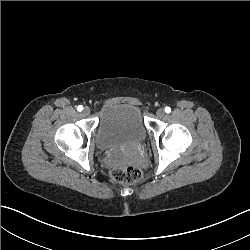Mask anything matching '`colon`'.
Wrapping results in <instances>:
<instances>
[{"mask_svg": "<svg viewBox=\"0 0 250 250\" xmlns=\"http://www.w3.org/2000/svg\"><path fill=\"white\" fill-rule=\"evenodd\" d=\"M143 170L136 165H124L123 163H114L110 167V177L118 184L129 185L139 183L143 179Z\"/></svg>", "mask_w": 250, "mask_h": 250, "instance_id": "colon-1", "label": "colon"}]
</instances>
